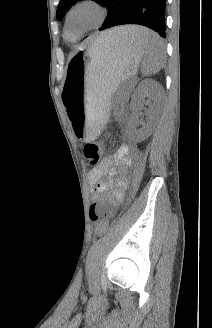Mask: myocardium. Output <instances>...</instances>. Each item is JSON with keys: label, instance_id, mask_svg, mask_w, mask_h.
<instances>
[{"label": "myocardium", "instance_id": "obj_1", "mask_svg": "<svg viewBox=\"0 0 212 328\" xmlns=\"http://www.w3.org/2000/svg\"><path fill=\"white\" fill-rule=\"evenodd\" d=\"M82 8H90L95 10L98 13V18L93 25L89 26L88 28L84 29L81 32L74 33V35L98 28L103 23V21L107 16V8L100 0H77L71 5V7L66 13L65 32L71 30V22H72L73 15L75 14L76 11Z\"/></svg>", "mask_w": 212, "mask_h": 328}]
</instances>
